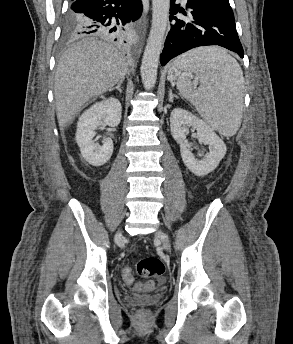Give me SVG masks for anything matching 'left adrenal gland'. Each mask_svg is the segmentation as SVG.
Returning a JSON list of instances; mask_svg holds the SVG:
<instances>
[{"instance_id": "left-adrenal-gland-1", "label": "left adrenal gland", "mask_w": 293, "mask_h": 344, "mask_svg": "<svg viewBox=\"0 0 293 344\" xmlns=\"http://www.w3.org/2000/svg\"><path fill=\"white\" fill-rule=\"evenodd\" d=\"M174 98L178 99V96H177V95H174V94L172 93V90L170 89V90H169V102H173V99H174Z\"/></svg>"}]
</instances>
